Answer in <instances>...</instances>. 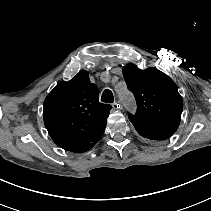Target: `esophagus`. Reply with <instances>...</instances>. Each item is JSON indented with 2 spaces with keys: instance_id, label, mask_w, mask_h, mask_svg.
Listing matches in <instances>:
<instances>
[{
  "instance_id": "obj_1",
  "label": "esophagus",
  "mask_w": 211,
  "mask_h": 211,
  "mask_svg": "<svg viewBox=\"0 0 211 211\" xmlns=\"http://www.w3.org/2000/svg\"><path fill=\"white\" fill-rule=\"evenodd\" d=\"M112 107H113L114 109H121V108H122V106H121L118 102L113 103V104H112Z\"/></svg>"
}]
</instances>
